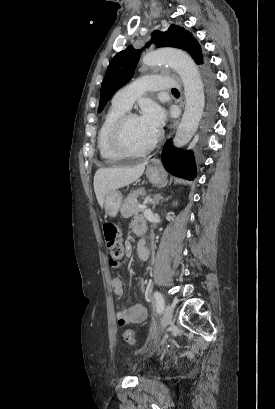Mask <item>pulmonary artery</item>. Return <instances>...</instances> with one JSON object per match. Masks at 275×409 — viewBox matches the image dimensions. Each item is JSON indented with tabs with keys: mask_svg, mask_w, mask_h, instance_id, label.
I'll return each instance as SVG.
<instances>
[{
	"mask_svg": "<svg viewBox=\"0 0 275 409\" xmlns=\"http://www.w3.org/2000/svg\"><path fill=\"white\" fill-rule=\"evenodd\" d=\"M166 75L161 73L160 75H142L140 81L133 79L131 85H123L121 91L115 94L112 103L124 110L129 111L133 105V102L139 94H153L154 88H177L179 81L177 79H165Z\"/></svg>",
	"mask_w": 275,
	"mask_h": 409,
	"instance_id": "pulmonary-artery-1",
	"label": "pulmonary artery"
}]
</instances>
